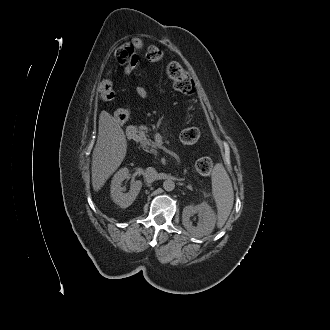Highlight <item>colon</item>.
<instances>
[{
  "label": "colon",
  "mask_w": 330,
  "mask_h": 330,
  "mask_svg": "<svg viewBox=\"0 0 330 330\" xmlns=\"http://www.w3.org/2000/svg\"><path fill=\"white\" fill-rule=\"evenodd\" d=\"M136 55L133 53V49L129 45L120 47L116 52L117 61L120 64H125L131 61ZM146 59L151 64L159 63L162 60L163 52L157 46H150L146 51ZM167 75L171 80L173 87L176 91L182 94H192L195 90V84L190 74L183 68L178 62H171L167 66ZM99 95L102 100H110L114 96V90L112 84L108 81L101 83L99 86ZM122 111L117 110L114 113V118L117 121H125L129 116L122 115ZM200 137L199 130L196 128L184 129L181 133V141L185 145L195 144ZM196 170L202 174L207 175L213 169V161L210 157H200L197 159L195 164Z\"/></svg>",
  "instance_id": "colon-1"
}]
</instances>
